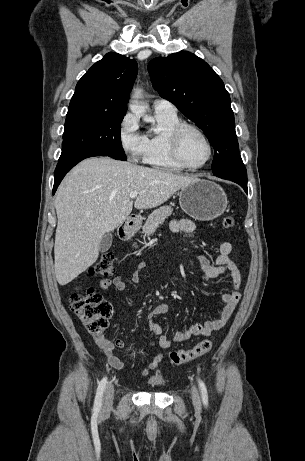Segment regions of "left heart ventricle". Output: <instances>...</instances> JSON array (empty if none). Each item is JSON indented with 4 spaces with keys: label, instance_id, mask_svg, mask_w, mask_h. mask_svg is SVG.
Wrapping results in <instances>:
<instances>
[{
    "label": "left heart ventricle",
    "instance_id": "1",
    "mask_svg": "<svg viewBox=\"0 0 305 461\" xmlns=\"http://www.w3.org/2000/svg\"><path fill=\"white\" fill-rule=\"evenodd\" d=\"M180 151L185 162L191 166L201 164L208 154L207 146L202 138L191 130L183 134Z\"/></svg>",
    "mask_w": 305,
    "mask_h": 461
}]
</instances>
